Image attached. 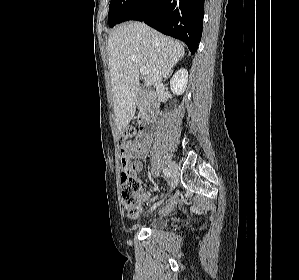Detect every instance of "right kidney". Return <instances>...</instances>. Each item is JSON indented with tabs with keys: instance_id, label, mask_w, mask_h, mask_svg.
<instances>
[{
	"instance_id": "1",
	"label": "right kidney",
	"mask_w": 299,
	"mask_h": 280,
	"mask_svg": "<svg viewBox=\"0 0 299 280\" xmlns=\"http://www.w3.org/2000/svg\"><path fill=\"white\" fill-rule=\"evenodd\" d=\"M188 83V71L186 69L178 70L170 80L171 91L175 95H182L185 92Z\"/></svg>"
}]
</instances>
